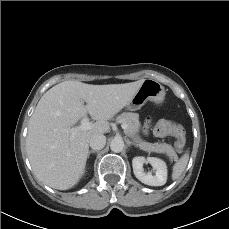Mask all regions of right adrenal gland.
Wrapping results in <instances>:
<instances>
[{
    "instance_id": "obj_1",
    "label": "right adrenal gland",
    "mask_w": 229,
    "mask_h": 229,
    "mask_svg": "<svg viewBox=\"0 0 229 229\" xmlns=\"http://www.w3.org/2000/svg\"><path fill=\"white\" fill-rule=\"evenodd\" d=\"M96 152H98V151H96V150H90V151L88 152L87 157L89 158L90 154H92V153H96Z\"/></svg>"
}]
</instances>
